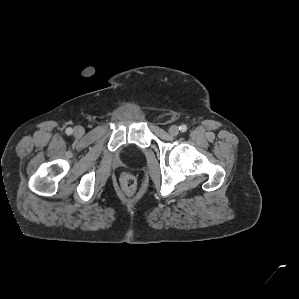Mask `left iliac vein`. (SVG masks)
I'll use <instances>...</instances> for the list:
<instances>
[{
    "label": "left iliac vein",
    "mask_w": 299,
    "mask_h": 299,
    "mask_svg": "<svg viewBox=\"0 0 299 299\" xmlns=\"http://www.w3.org/2000/svg\"><path fill=\"white\" fill-rule=\"evenodd\" d=\"M169 134L171 136H177L179 134V128L176 125H172L169 130H168Z\"/></svg>",
    "instance_id": "left-iliac-vein-1"
}]
</instances>
